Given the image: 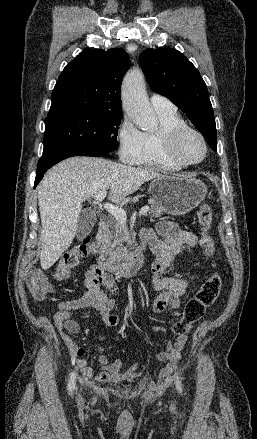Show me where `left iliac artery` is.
I'll return each mask as SVG.
<instances>
[{
  "instance_id": "1",
  "label": "left iliac artery",
  "mask_w": 257,
  "mask_h": 439,
  "mask_svg": "<svg viewBox=\"0 0 257 439\" xmlns=\"http://www.w3.org/2000/svg\"><path fill=\"white\" fill-rule=\"evenodd\" d=\"M176 387H177L178 391L181 393L182 392V384H181L179 377H176Z\"/></svg>"
}]
</instances>
